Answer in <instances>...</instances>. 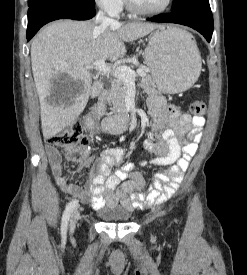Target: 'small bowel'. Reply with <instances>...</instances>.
I'll use <instances>...</instances> for the list:
<instances>
[{
  "label": "small bowel",
  "instance_id": "small-bowel-1",
  "mask_svg": "<svg viewBox=\"0 0 247 275\" xmlns=\"http://www.w3.org/2000/svg\"><path fill=\"white\" fill-rule=\"evenodd\" d=\"M148 105L154 118L155 135L144 141V148L156 156L150 164L165 167L163 171L155 174L151 185H147L140 173L134 172L133 163H126L113 171V168L123 161L125 151L121 148L105 149L100 160L90 170L85 186L75 185L64 175L59 151L48 144L46 152L51 169L64 193L77 197L84 203H90L96 210L121 206L127 211L168 200L175 194L190 160L197 152L205 118L184 113L179 107L168 104L163 97L157 95L149 97ZM166 123L170 127L161 132ZM88 125L91 126V122H88ZM185 136L188 140L182 141ZM77 150L80 158L73 174L89 167L93 161L89 149Z\"/></svg>",
  "mask_w": 247,
  "mask_h": 275
}]
</instances>
